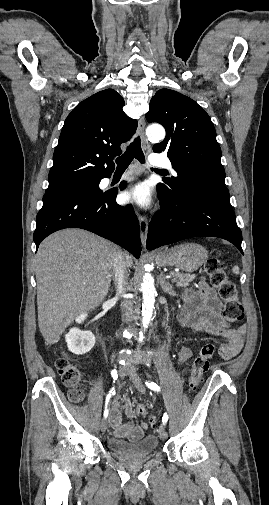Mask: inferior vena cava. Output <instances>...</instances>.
Here are the masks:
<instances>
[{
  "label": "inferior vena cava",
  "mask_w": 269,
  "mask_h": 505,
  "mask_svg": "<svg viewBox=\"0 0 269 505\" xmlns=\"http://www.w3.org/2000/svg\"><path fill=\"white\" fill-rule=\"evenodd\" d=\"M114 282L119 294L125 293L128 290L127 278H128V264L125 255L120 251L115 257L114 265ZM124 320L126 323H130L133 318V303L131 300H126L124 302Z\"/></svg>",
  "instance_id": "inferior-vena-cava-1"
}]
</instances>
